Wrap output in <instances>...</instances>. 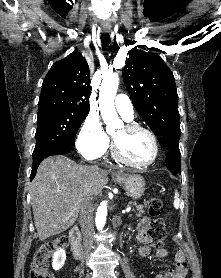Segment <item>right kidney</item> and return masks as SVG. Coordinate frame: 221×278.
Instances as JSON below:
<instances>
[{
  "mask_svg": "<svg viewBox=\"0 0 221 278\" xmlns=\"http://www.w3.org/2000/svg\"><path fill=\"white\" fill-rule=\"evenodd\" d=\"M66 260V252L64 249H58L54 254H53V262H52V267L54 270H59L63 267L64 263Z\"/></svg>",
  "mask_w": 221,
  "mask_h": 278,
  "instance_id": "1",
  "label": "right kidney"
}]
</instances>
